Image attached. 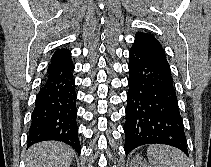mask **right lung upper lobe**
Instances as JSON below:
<instances>
[{
  "instance_id": "cb5924a9",
  "label": "right lung upper lobe",
  "mask_w": 211,
  "mask_h": 167,
  "mask_svg": "<svg viewBox=\"0 0 211 167\" xmlns=\"http://www.w3.org/2000/svg\"><path fill=\"white\" fill-rule=\"evenodd\" d=\"M69 55H71V52L69 49H66V48L57 49L52 56V61L69 56Z\"/></svg>"
}]
</instances>
